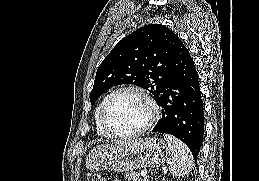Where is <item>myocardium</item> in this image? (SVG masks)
I'll use <instances>...</instances> for the list:
<instances>
[{
	"instance_id": "f54148a6",
	"label": "myocardium",
	"mask_w": 259,
	"mask_h": 181,
	"mask_svg": "<svg viewBox=\"0 0 259 181\" xmlns=\"http://www.w3.org/2000/svg\"><path fill=\"white\" fill-rule=\"evenodd\" d=\"M123 92H135L139 94L147 103L150 110V116L147 122L141 128L128 133H117V132H114L107 123V111L113 99ZM158 119H159V108L155 100L152 98L150 93L145 88L134 84L121 86L115 89L113 92H111L107 96L102 106L101 114H100L101 124L103 128L106 130V132L109 134V136L119 138V139H129V138L138 137L144 134L157 123Z\"/></svg>"
}]
</instances>
